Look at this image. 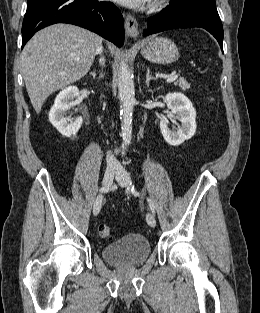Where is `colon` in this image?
Masks as SVG:
<instances>
[{
    "instance_id": "obj_1",
    "label": "colon",
    "mask_w": 260,
    "mask_h": 313,
    "mask_svg": "<svg viewBox=\"0 0 260 313\" xmlns=\"http://www.w3.org/2000/svg\"><path fill=\"white\" fill-rule=\"evenodd\" d=\"M98 234L103 239H106V240L113 239V233L111 231V228L107 225H104V224L99 225Z\"/></svg>"
}]
</instances>
